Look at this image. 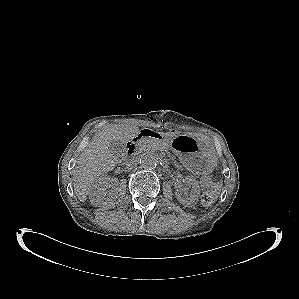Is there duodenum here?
Segmentation results:
<instances>
[{
    "mask_svg": "<svg viewBox=\"0 0 299 299\" xmlns=\"http://www.w3.org/2000/svg\"><path fill=\"white\" fill-rule=\"evenodd\" d=\"M155 133L151 130H142L139 132L128 144H127V152L132 155L135 153L138 142L144 137H155Z\"/></svg>",
    "mask_w": 299,
    "mask_h": 299,
    "instance_id": "obj_1",
    "label": "duodenum"
}]
</instances>
